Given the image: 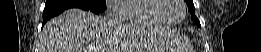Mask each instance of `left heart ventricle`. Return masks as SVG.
<instances>
[{
    "label": "left heart ventricle",
    "instance_id": "1",
    "mask_svg": "<svg viewBox=\"0 0 261 52\" xmlns=\"http://www.w3.org/2000/svg\"><path fill=\"white\" fill-rule=\"evenodd\" d=\"M172 2V7L165 13V18L171 21H175L181 18L182 16V8L176 4L177 0H169Z\"/></svg>",
    "mask_w": 261,
    "mask_h": 52
}]
</instances>
